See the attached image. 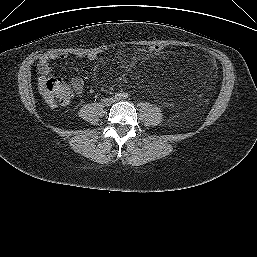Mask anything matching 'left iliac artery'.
<instances>
[{
  "instance_id": "left-iliac-artery-1",
  "label": "left iliac artery",
  "mask_w": 257,
  "mask_h": 257,
  "mask_svg": "<svg viewBox=\"0 0 257 257\" xmlns=\"http://www.w3.org/2000/svg\"><path fill=\"white\" fill-rule=\"evenodd\" d=\"M122 96L126 99V98H128L129 95H128V93H123Z\"/></svg>"
}]
</instances>
